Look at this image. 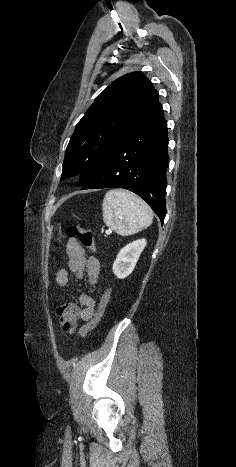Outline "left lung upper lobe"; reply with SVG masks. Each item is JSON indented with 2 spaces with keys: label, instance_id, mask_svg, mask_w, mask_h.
Returning <instances> with one entry per match:
<instances>
[{
  "label": "left lung upper lobe",
  "instance_id": "left-lung-upper-lobe-1",
  "mask_svg": "<svg viewBox=\"0 0 236 467\" xmlns=\"http://www.w3.org/2000/svg\"><path fill=\"white\" fill-rule=\"evenodd\" d=\"M158 104V92L142 73H128L115 80L76 125L66 148L61 179L82 170L80 186L88 182L121 136Z\"/></svg>",
  "mask_w": 236,
  "mask_h": 467
}]
</instances>
